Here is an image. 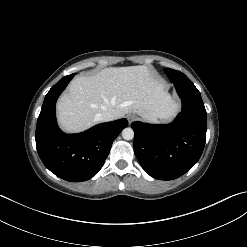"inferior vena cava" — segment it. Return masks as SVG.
<instances>
[{
  "instance_id": "inferior-vena-cava-1",
  "label": "inferior vena cava",
  "mask_w": 247,
  "mask_h": 247,
  "mask_svg": "<svg viewBox=\"0 0 247 247\" xmlns=\"http://www.w3.org/2000/svg\"><path fill=\"white\" fill-rule=\"evenodd\" d=\"M97 121L100 122H108L113 121L115 119L114 115L111 112H103L96 116Z\"/></svg>"
}]
</instances>
